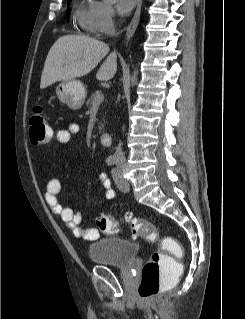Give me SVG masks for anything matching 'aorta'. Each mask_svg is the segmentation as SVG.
I'll return each mask as SVG.
<instances>
[{
  "mask_svg": "<svg viewBox=\"0 0 245 319\" xmlns=\"http://www.w3.org/2000/svg\"><path fill=\"white\" fill-rule=\"evenodd\" d=\"M108 1H112V0H108ZM137 74H138V71L135 69L134 71H133V74H132V76L130 77V85L133 87L135 84H136V82H137Z\"/></svg>",
  "mask_w": 245,
  "mask_h": 319,
  "instance_id": "obj_1",
  "label": "aorta"
}]
</instances>
